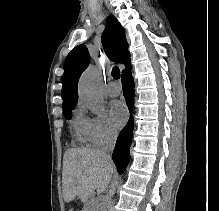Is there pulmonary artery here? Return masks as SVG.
<instances>
[{"instance_id": "1", "label": "pulmonary artery", "mask_w": 219, "mask_h": 211, "mask_svg": "<svg viewBox=\"0 0 219 211\" xmlns=\"http://www.w3.org/2000/svg\"><path fill=\"white\" fill-rule=\"evenodd\" d=\"M122 86L117 81H112L106 86V92L109 96H117L121 93Z\"/></svg>"}]
</instances>
